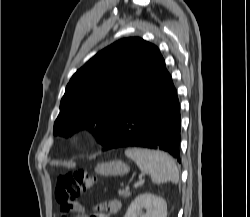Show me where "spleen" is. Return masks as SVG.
<instances>
[{"instance_id":"1","label":"spleen","mask_w":250,"mask_h":217,"mask_svg":"<svg viewBox=\"0 0 250 217\" xmlns=\"http://www.w3.org/2000/svg\"><path fill=\"white\" fill-rule=\"evenodd\" d=\"M125 155L134 160L144 174L150 175L155 184L168 181L177 183L179 180V171L174 159L164 152L128 148L125 150Z\"/></svg>"}]
</instances>
